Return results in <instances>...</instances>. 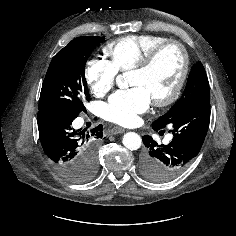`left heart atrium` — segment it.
<instances>
[{"mask_svg":"<svg viewBox=\"0 0 236 236\" xmlns=\"http://www.w3.org/2000/svg\"><path fill=\"white\" fill-rule=\"evenodd\" d=\"M151 104V96L141 86L121 90L112 95L104 108L106 120L129 126L137 121L138 115L144 113Z\"/></svg>","mask_w":236,"mask_h":236,"instance_id":"1","label":"left heart atrium"}]
</instances>
